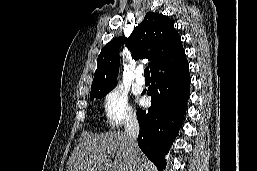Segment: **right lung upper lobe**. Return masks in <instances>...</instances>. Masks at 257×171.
I'll return each mask as SVG.
<instances>
[{
	"mask_svg": "<svg viewBox=\"0 0 257 171\" xmlns=\"http://www.w3.org/2000/svg\"><path fill=\"white\" fill-rule=\"evenodd\" d=\"M124 43L135 60H150L151 75L185 59V50L173 21L162 14L148 12L129 38L119 37L103 47L97 59L91 93L117 85L118 52Z\"/></svg>",
	"mask_w": 257,
	"mask_h": 171,
	"instance_id": "1",
	"label": "right lung upper lobe"
}]
</instances>
